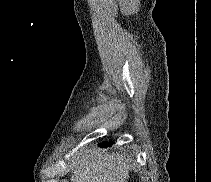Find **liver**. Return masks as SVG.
I'll list each match as a JSON object with an SVG mask.
<instances>
[{
    "mask_svg": "<svg viewBox=\"0 0 211 182\" xmlns=\"http://www.w3.org/2000/svg\"><path fill=\"white\" fill-rule=\"evenodd\" d=\"M71 182H127L130 164L120 153H81L70 166Z\"/></svg>",
    "mask_w": 211,
    "mask_h": 182,
    "instance_id": "6515ba94",
    "label": "liver"
}]
</instances>
